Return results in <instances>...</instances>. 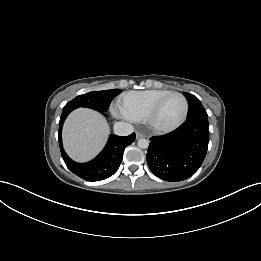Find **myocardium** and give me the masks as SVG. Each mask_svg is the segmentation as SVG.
<instances>
[{
  "label": "myocardium",
  "mask_w": 261,
  "mask_h": 261,
  "mask_svg": "<svg viewBox=\"0 0 261 261\" xmlns=\"http://www.w3.org/2000/svg\"><path fill=\"white\" fill-rule=\"evenodd\" d=\"M173 95H176V96H179L182 100H183V103H184V110H183V113H182V116L181 118L173 125L171 126H168V127H160V126H157L155 123H154V118H155V115L158 111V109L160 108L161 104L170 96H173ZM188 111H189V103H188V100L187 98L180 92H177V91H170L168 92L167 94L163 95L162 97H160L153 105L152 107L149 109V111L147 112L146 116H145V119H144V122L148 125V127L156 132V133H169V132H172L176 129H178L186 120L187 118V115H188Z\"/></svg>",
  "instance_id": "f54148a6"
}]
</instances>
